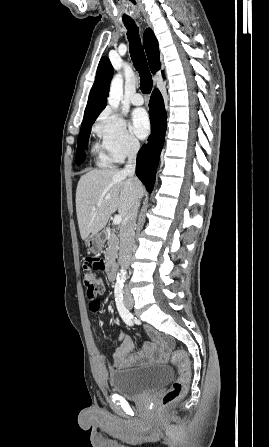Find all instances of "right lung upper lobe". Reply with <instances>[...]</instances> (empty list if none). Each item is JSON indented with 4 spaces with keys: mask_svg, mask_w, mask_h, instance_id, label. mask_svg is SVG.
I'll return each instance as SVG.
<instances>
[{
    "mask_svg": "<svg viewBox=\"0 0 269 447\" xmlns=\"http://www.w3.org/2000/svg\"><path fill=\"white\" fill-rule=\"evenodd\" d=\"M143 44L150 69L155 73L160 69V53L158 41L150 28L144 32ZM112 75L113 67L110 60L107 57H102L97 68L96 79L89 95L81 127L93 123L105 108Z\"/></svg>",
    "mask_w": 269,
    "mask_h": 447,
    "instance_id": "right-lung-upper-lobe-1",
    "label": "right lung upper lobe"
}]
</instances>
